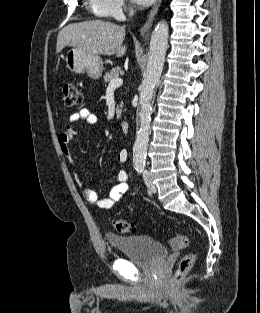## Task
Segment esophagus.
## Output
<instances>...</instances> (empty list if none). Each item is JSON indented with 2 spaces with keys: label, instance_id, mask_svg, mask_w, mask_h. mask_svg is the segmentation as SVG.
Listing matches in <instances>:
<instances>
[{
  "label": "esophagus",
  "instance_id": "obj_1",
  "mask_svg": "<svg viewBox=\"0 0 260 313\" xmlns=\"http://www.w3.org/2000/svg\"><path fill=\"white\" fill-rule=\"evenodd\" d=\"M161 1L162 0H157L155 5L153 6V8L150 10L148 17H147V20H146V22L142 28V33L148 31L150 29V27L152 26L153 20H154L156 14H157V11L160 7Z\"/></svg>",
  "mask_w": 260,
  "mask_h": 313
}]
</instances>
